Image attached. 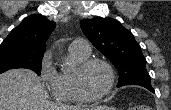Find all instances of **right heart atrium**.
Here are the masks:
<instances>
[{
    "label": "right heart atrium",
    "instance_id": "1",
    "mask_svg": "<svg viewBox=\"0 0 171 110\" xmlns=\"http://www.w3.org/2000/svg\"><path fill=\"white\" fill-rule=\"evenodd\" d=\"M56 77L57 72L52 65L50 53H45L40 65V79L49 88Z\"/></svg>",
    "mask_w": 171,
    "mask_h": 110
}]
</instances>
